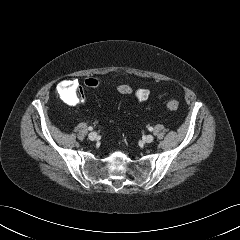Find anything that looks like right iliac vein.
<instances>
[{
    "label": "right iliac vein",
    "mask_w": 240,
    "mask_h": 240,
    "mask_svg": "<svg viewBox=\"0 0 240 240\" xmlns=\"http://www.w3.org/2000/svg\"><path fill=\"white\" fill-rule=\"evenodd\" d=\"M88 138H89L91 141H94V140L97 139V134H96L95 132H91V133H89Z\"/></svg>",
    "instance_id": "1"
}]
</instances>
